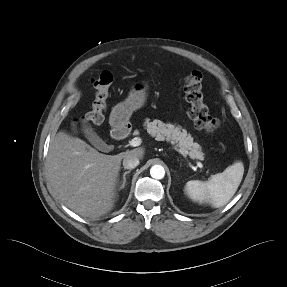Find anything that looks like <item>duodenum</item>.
Wrapping results in <instances>:
<instances>
[{"label":"duodenum","instance_id":"410a0bca","mask_svg":"<svg viewBox=\"0 0 287 287\" xmlns=\"http://www.w3.org/2000/svg\"><path fill=\"white\" fill-rule=\"evenodd\" d=\"M125 113H119L113 124L112 136L114 139H123L129 132L128 122L125 119Z\"/></svg>","mask_w":287,"mask_h":287}]
</instances>
